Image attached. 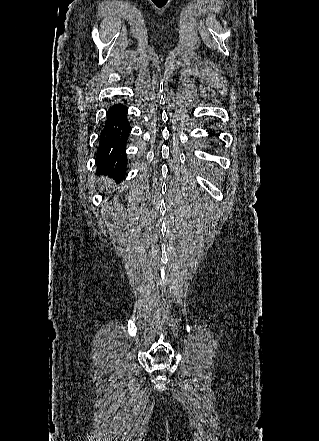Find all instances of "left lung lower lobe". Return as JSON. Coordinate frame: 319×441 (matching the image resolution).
Returning a JSON list of instances; mask_svg holds the SVG:
<instances>
[{
  "mask_svg": "<svg viewBox=\"0 0 319 441\" xmlns=\"http://www.w3.org/2000/svg\"><path fill=\"white\" fill-rule=\"evenodd\" d=\"M208 132H209V134L211 135V134L214 132V130L209 129Z\"/></svg>",
  "mask_w": 319,
  "mask_h": 441,
  "instance_id": "1",
  "label": "left lung lower lobe"
}]
</instances>
